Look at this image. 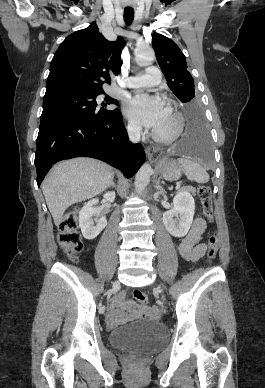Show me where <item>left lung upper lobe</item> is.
<instances>
[{
  "label": "left lung upper lobe",
  "instance_id": "obj_1",
  "mask_svg": "<svg viewBox=\"0 0 265 388\" xmlns=\"http://www.w3.org/2000/svg\"><path fill=\"white\" fill-rule=\"evenodd\" d=\"M152 46L172 92L186 103L187 110L200 108L195 100L194 80L187 71L186 58L180 48L171 39L157 33L152 36Z\"/></svg>",
  "mask_w": 265,
  "mask_h": 388
}]
</instances>
